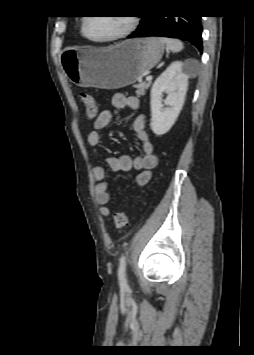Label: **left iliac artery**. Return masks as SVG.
Instances as JSON below:
<instances>
[{"label":"left iliac artery","mask_w":254,"mask_h":355,"mask_svg":"<svg viewBox=\"0 0 254 355\" xmlns=\"http://www.w3.org/2000/svg\"><path fill=\"white\" fill-rule=\"evenodd\" d=\"M126 257L122 255L119 262L118 268V279L122 286H127V279H126Z\"/></svg>","instance_id":"obj_1"}]
</instances>
